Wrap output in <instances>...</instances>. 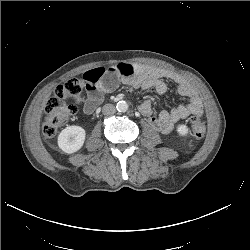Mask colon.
<instances>
[{
    "instance_id": "colon-1",
    "label": "colon",
    "mask_w": 250,
    "mask_h": 250,
    "mask_svg": "<svg viewBox=\"0 0 250 250\" xmlns=\"http://www.w3.org/2000/svg\"><path fill=\"white\" fill-rule=\"evenodd\" d=\"M85 86L79 78L66 81L57 86L44 109L42 131L45 136L55 135L58 128L74 115L82 101V91ZM206 133V125L198 117L188 120V134L196 139H202Z\"/></svg>"
}]
</instances>
